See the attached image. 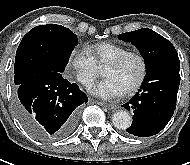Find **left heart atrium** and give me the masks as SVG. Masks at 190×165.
I'll list each match as a JSON object with an SVG mask.
<instances>
[{
  "label": "left heart atrium",
  "instance_id": "39dd6f15",
  "mask_svg": "<svg viewBox=\"0 0 190 165\" xmlns=\"http://www.w3.org/2000/svg\"><path fill=\"white\" fill-rule=\"evenodd\" d=\"M90 92L96 96L109 99L124 93L122 87L112 78H105L90 88Z\"/></svg>",
  "mask_w": 190,
  "mask_h": 165
}]
</instances>
